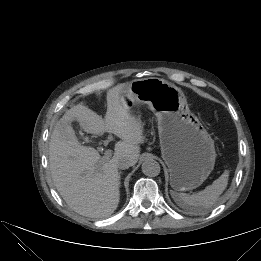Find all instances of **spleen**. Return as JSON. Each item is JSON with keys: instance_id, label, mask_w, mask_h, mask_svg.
<instances>
[{"instance_id": "3e777b00", "label": "spleen", "mask_w": 261, "mask_h": 261, "mask_svg": "<svg viewBox=\"0 0 261 261\" xmlns=\"http://www.w3.org/2000/svg\"><path fill=\"white\" fill-rule=\"evenodd\" d=\"M228 178L229 171L225 170L212 185L207 186L203 191L192 195L172 192V197L180 206L189 209L191 213L200 214L202 209L210 208L215 204L218 197L226 189Z\"/></svg>"}]
</instances>
